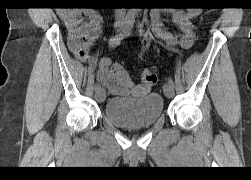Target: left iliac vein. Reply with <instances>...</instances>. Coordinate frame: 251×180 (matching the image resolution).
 Segmentation results:
<instances>
[{
  "label": "left iliac vein",
  "instance_id": "4c4485c4",
  "mask_svg": "<svg viewBox=\"0 0 251 180\" xmlns=\"http://www.w3.org/2000/svg\"><path fill=\"white\" fill-rule=\"evenodd\" d=\"M164 94L168 98H172L174 96V86L167 83L164 85Z\"/></svg>",
  "mask_w": 251,
  "mask_h": 180
}]
</instances>
